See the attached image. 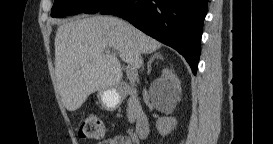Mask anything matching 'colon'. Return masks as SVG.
<instances>
[{
	"label": "colon",
	"mask_w": 273,
	"mask_h": 144,
	"mask_svg": "<svg viewBox=\"0 0 273 144\" xmlns=\"http://www.w3.org/2000/svg\"><path fill=\"white\" fill-rule=\"evenodd\" d=\"M105 135L103 120L97 115H88L80 123L79 136L84 139L100 140Z\"/></svg>",
	"instance_id": "5ec220e1"
}]
</instances>
